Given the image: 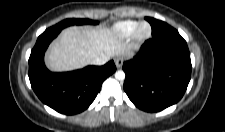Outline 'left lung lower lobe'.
Returning <instances> with one entry per match:
<instances>
[{"instance_id":"left-lung-lower-lobe-1","label":"left lung lower lobe","mask_w":225,"mask_h":132,"mask_svg":"<svg viewBox=\"0 0 225 132\" xmlns=\"http://www.w3.org/2000/svg\"><path fill=\"white\" fill-rule=\"evenodd\" d=\"M152 26L162 21L146 18ZM124 91L147 112L161 111L177 103L191 78V60L186 41L178 32L149 39L139 53L124 62Z\"/></svg>"}]
</instances>
